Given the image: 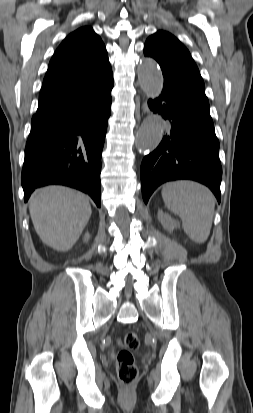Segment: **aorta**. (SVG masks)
Returning a JSON list of instances; mask_svg holds the SVG:
<instances>
[{"label": "aorta", "mask_w": 253, "mask_h": 413, "mask_svg": "<svg viewBox=\"0 0 253 413\" xmlns=\"http://www.w3.org/2000/svg\"><path fill=\"white\" fill-rule=\"evenodd\" d=\"M138 81L144 93L151 98L160 95L163 76L155 60L143 58L138 70ZM164 122L160 115L151 114L141 124L136 135V147L141 152L154 150L163 137Z\"/></svg>", "instance_id": "aorta-1"}]
</instances>
